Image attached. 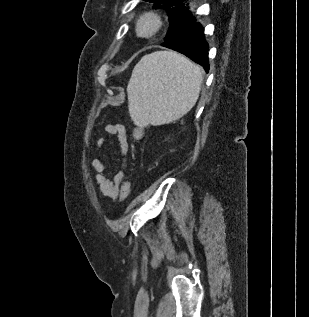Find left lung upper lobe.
Listing matches in <instances>:
<instances>
[{
  "label": "left lung upper lobe",
  "mask_w": 309,
  "mask_h": 317,
  "mask_svg": "<svg viewBox=\"0 0 309 317\" xmlns=\"http://www.w3.org/2000/svg\"><path fill=\"white\" fill-rule=\"evenodd\" d=\"M154 5V8L165 9L170 21V27L167 32L164 41L169 40L174 35L183 30L190 19L192 13L187 11L188 7L185 4V0H144Z\"/></svg>",
  "instance_id": "5c2ea615"
}]
</instances>
